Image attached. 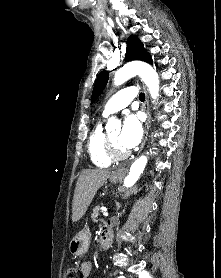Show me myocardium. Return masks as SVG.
I'll list each match as a JSON object with an SVG mask.
<instances>
[{
    "label": "myocardium",
    "mask_w": 221,
    "mask_h": 278,
    "mask_svg": "<svg viewBox=\"0 0 221 278\" xmlns=\"http://www.w3.org/2000/svg\"><path fill=\"white\" fill-rule=\"evenodd\" d=\"M105 153L111 161H121L130 155V152L127 150L123 152L116 151L109 134L105 135Z\"/></svg>",
    "instance_id": "myocardium-1"
}]
</instances>
